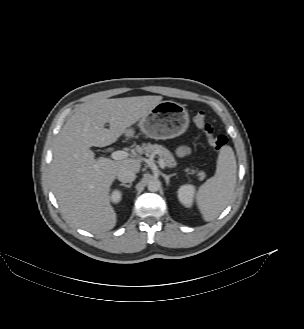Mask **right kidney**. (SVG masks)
I'll return each instance as SVG.
<instances>
[{
	"instance_id": "ca27d5eb",
	"label": "right kidney",
	"mask_w": 304,
	"mask_h": 329,
	"mask_svg": "<svg viewBox=\"0 0 304 329\" xmlns=\"http://www.w3.org/2000/svg\"><path fill=\"white\" fill-rule=\"evenodd\" d=\"M110 199L113 203L117 204L122 200V193L119 190H114Z\"/></svg>"
}]
</instances>
